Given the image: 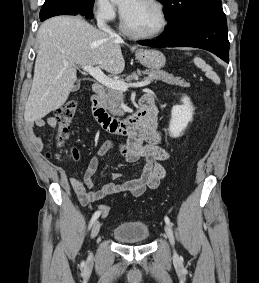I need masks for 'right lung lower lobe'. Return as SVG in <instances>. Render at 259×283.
Returning <instances> with one entry per match:
<instances>
[{"instance_id":"1","label":"right lung lower lobe","mask_w":259,"mask_h":283,"mask_svg":"<svg viewBox=\"0 0 259 283\" xmlns=\"http://www.w3.org/2000/svg\"><path fill=\"white\" fill-rule=\"evenodd\" d=\"M93 3L94 1L89 0H45L40 11V20L44 21L57 15L77 14L91 19Z\"/></svg>"}]
</instances>
